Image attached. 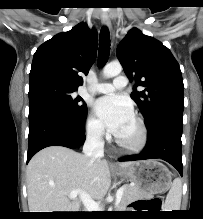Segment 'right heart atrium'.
Listing matches in <instances>:
<instances>
[{
    "instance_id": "1",
    "label": "right heart atrium",
    "mask_w": 203,
    "mask_h": 219,
    "mask_svg": "<svg viewBox=\"0 0 203 219\" xmlns=\"http://www.w3.org/2000/svg\"><path fill=\"white\" fill-rule=\"evenodd\" d=\"M86 134L88 138L94 142H101L106 136L103 124L93 115L87 118Z\"/></svg>"
}]
</instances>
